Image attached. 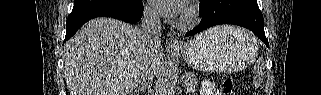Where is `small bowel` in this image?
Masks as SVG:
<instances>
[{
	"mask_svg": "<svg viewBox=\"0 0 321 95\" xmlns=\"http://www.w3.org/2000/svg\"><path fill=\"white\" fill-rule=\"evenodd\" d=\"M213 94H216V91L214 89H212L211 87L205 86L203 88L202 95H213Z\"/></svg>",
	"mask_w": 321,
	"mask_h": 95,
	"instance_id": "obj_1",
	"label": "small bowel"
}]
</instances>
